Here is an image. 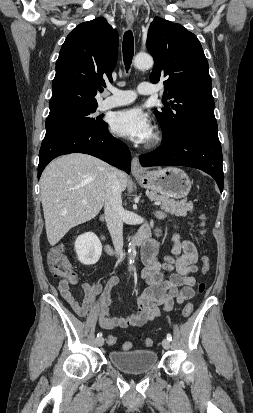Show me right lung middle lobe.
Returning a JSON list of instances; mask_svg holds the SVG:
<instances>
[{
  "mask_svg": "<svg viewBox=\"0 0 253 413\" xmlns=\"http://www.w3.org/2000/svg\"><path fill=\"white\" fill-rule=\"evenodd\" d=\"M96 108L71 110L48 116L45 136L70 131H94L102 128L105 126V122L99 117L92 116Z\"/></svg>",
  "mask_w": 253,
  "mask_h": 413,
  "instance_id": "dd1d6c3e",
  "label": "right lung middle lobe"
}]
</instances>
